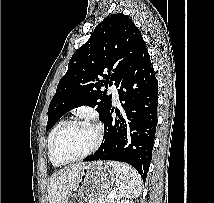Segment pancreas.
Masks as SVG:
<instances>
[{
  "mask_svg": "<svg viewBox=\"0 0 214 203\" xmlns=\"http://www.w3.org/2000/svg\"><path fill=\"white\" fill-rule=\"evenodd\" d=\"M109 194H110V193H108V194L103 198L102 203H116L115 199H110V198L108 197Z\"/></svg>",
  "mask_w": 214,
  "mask_h": 203,
  "instance_id": "cf45deb5",
  "label": "pancreas"
}]
</instances>
